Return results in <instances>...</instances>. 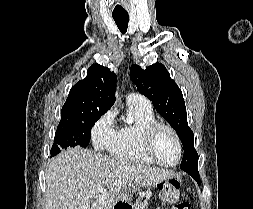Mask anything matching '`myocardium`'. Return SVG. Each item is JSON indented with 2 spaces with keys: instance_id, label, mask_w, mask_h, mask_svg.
<instances>
[{
  "instance_id": "obj_1",
  "label": "myocardium",
  "mask_w": 253,
  "mask_h": 209,
  "mask_svg": "<svg viewBox=\"0 0 253 209\" xmlns=\"http://www.w3.org/2000/svg\"><path fill=\"white\" fill-rule=\"evenodd\" d=\"M159 129L168 130L172 134V136L174 137V140L176 142L178 156H177L176 161L171 164L161 161L153 152V149H152L153 140H154L156 132ZM141 147H142L143 154L150 161H152L153 163H156L158 165L167 167V168L176 167L180 163L181 158H182V143H181L180 137H179L178 133L176 132V130L171 125H169L167 123L155 121V122H152L149 125H147L142 131Z\"/></svg>"
}]
</instances>
